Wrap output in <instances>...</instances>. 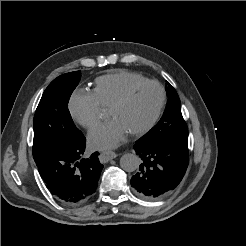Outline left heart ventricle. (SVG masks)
Returning a JSON list of instances; mask_svg holds the SVG:
<instances>
[{
  "label": "left heart ventricle",
  "instance_id": "obj_1",
  "mask_svg": "<svg viewBox=\"0 0 246 246\" xmlns=\"http://www.w3.org/2000/svg\"><path fill=\"white\" fill-rule=\"evenodd\" d=\"M160 100L159 89L155 85H144L133 92L121 107L110 112L129 131L146 125L153 117Z\"/></svg>",
  "mask_w": 246,
  "mask_h": 246
}]
</instances>
